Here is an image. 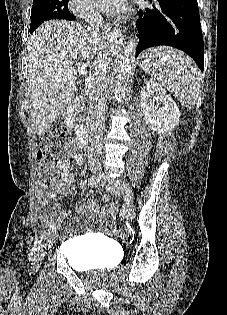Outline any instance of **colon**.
<instances>
[{"label":"colon","instance_id":"1","mask_svg":"<svg viewBox=\"0 0 227 315\" xmlns=\"http://www.w3.org/2000/svg\"><path fill=\"white\" fill-rule=\"evenodd\" d=\"M68 137V129L63 123H54L50 125L42 134L40 139V149L37 154V158L41 162V167L38 171L40 177L45 178L52 175V162L55 157L63 152ZM105 229L112 235L127 234L120 230L119 225L115 221L107 222Z\"/></svg>","mask_w":227,"mask_h":315}]
</instances>
